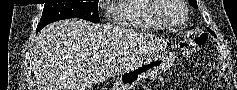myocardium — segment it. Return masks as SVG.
<instances>
[{
    "label": "myocardium",
    "instance_id": "1",
    "mask_svg": "<svg viewBox=\"0 0 237 90\" xmlns=\"http://www.w3.org/2000/svg\"><path fill=\"white\" fill-rule=\"evenodd\" d=\"M154 3H157L159 8H156V11H152V18L156 19L162 29L178 31L184 26L188 15V7L185 4L186 0H154ZM176 12L178 15H182L181 20L176 25L169 26L161 19L165 18L166 15H175Z\"/></svg>",
    "mask_w": 237,
    "mask_h": 90
}]
</instances>
